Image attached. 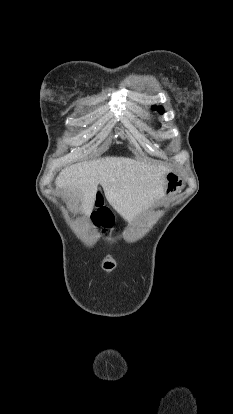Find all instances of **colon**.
<instances>
[{
    "label": "colon",
    "instance_id": "1",
    "mask_svg": "<svg viewBox=\"0 0 233 414\" xmlns=\"http://www.w3.org/2000/svg\"><path fill=\"white\" fill-rule=\"evenodd\" d=\"M96 221L103 224L104 227H110L112 224L111 215L107 211H101L96 216Z\"/></svg>",
    "mask_w": 233,
    "mask_h": 414
}]
</instances>
